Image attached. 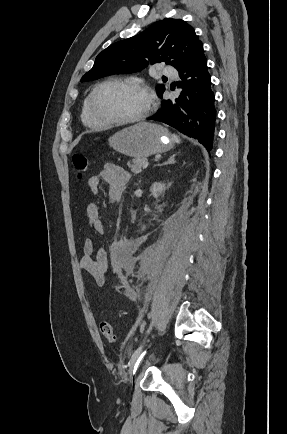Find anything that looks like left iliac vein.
<instances>
[{"label":"left iliac vein","instance_id":"1","mask_svg":"<svg viewBox=\"0 0 287 434\" xmlns=\"http://www.w3.org/2000/svg\"><path fill=\"white\" fill-rule=\"evenodd\" d=\"M145 367H146V365H144L143 368H145ZM129 374H130V375L132 374V367L130 368Z\"/></svg>","mask_w":287,"mask_h":434}]
</instances>
